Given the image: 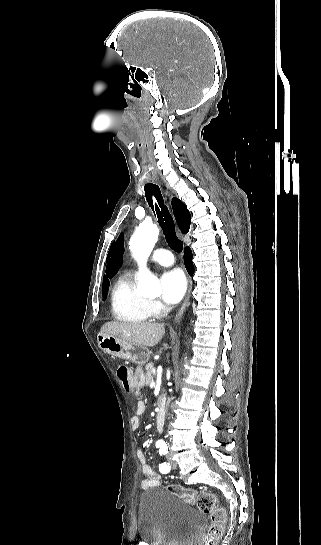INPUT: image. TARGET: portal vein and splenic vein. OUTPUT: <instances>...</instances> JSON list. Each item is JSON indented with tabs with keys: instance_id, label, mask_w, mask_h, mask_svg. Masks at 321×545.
<instances>
[{
	"instance_id": "portal-vein-and-splenic-vein-1",
	"label": "portal vein and splenic vein",
	"mask_w": 321,
	"mask_h": 545,
	"mask_svg": "<svg viewBox=\"0 0 321 545\" xmlns=\"http://www.w3.org/2000/svg\"><path fill=\"white\" fill-rule=\"evenodd\" d=\"M152 371H153V376H156V370H155V368H152Z\"/></svg>"
}]
</instances>
